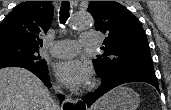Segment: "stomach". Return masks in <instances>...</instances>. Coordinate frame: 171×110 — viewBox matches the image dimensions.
<instances>
[{
    "instance_id": "stomach-1",
    "label": "stomach",
    "mask_w": 171,
    "mask_h": 110,
    "mask_svg": "<svg viewBox=\"0 0 171 110\" xmlns=\"http://www.w3.org/2000/svg\"><path fill=\"white\" fill-rule=\"evenodd\" d=\"M100 100L99 110H137L140 102L138 94L124 86L115 88Z\"/></svg>"
}]
</instances>
